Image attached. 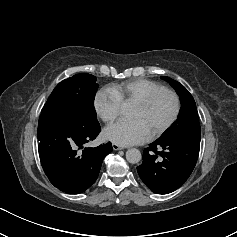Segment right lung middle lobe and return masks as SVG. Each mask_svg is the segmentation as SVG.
I'll use <instances>...</instances> for the list:
<instances>
[{
  "label": "right lung middle lobe",
  "instance_id": "dd1d6c3e",
  "mask_svg": "<svg viewBox=\"0 0 237 237\" xmlns=\"http://www.w3.org/2000/svg\"><path fill=\"white\" fill-rule=\"evenodd\" d=\"M98 84L91 74H77L60 82L42 108V116L61 119L78 129L99 126L94 108Z\"/></svg>",
  "mask_w": 237,
  "mask_h": 237
}]
</instances>
